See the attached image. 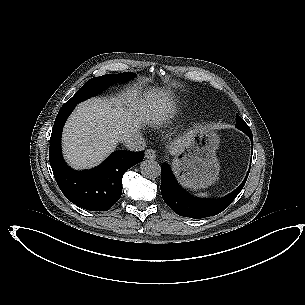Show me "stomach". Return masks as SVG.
Wrapping results in <instances>:
<instances>
[{"instance_id": "0dacf381", "label": "stomach", "mask_w": 305, "mask_h": 305, "mask_svg": "<svg viewBox=\"0 0 305 305\" xmlns=\"http://www.w3.org/2000/svg\"><path fill=\"white\" fill-rule=\"evenodd\" d=\"M219 137L207 127L194 130L186 146L173 158L172 170L183 188L200 190L212 185L219 174L216 157Z\"/></svg>"}]
</instances>
